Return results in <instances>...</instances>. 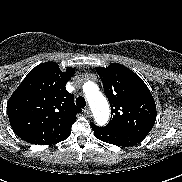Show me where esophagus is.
Segmentation results:
<instances>
[{"mask_svg": "<svg viewBox=\"0 0 182 182\" xmlns=\"http://www.w3.org/2000/svg\"><path fill=\"white\" fill-rule=\"evenodd\" d=\"M84 114L86 115V117H91V116H92L91 110H90L89 107H86V108L84 109Z\"/></svg>", "mask_w": 182, "mask_h": 182, "instance_id": "esophagus-1", "label": "esophagus"}]
</instances>
